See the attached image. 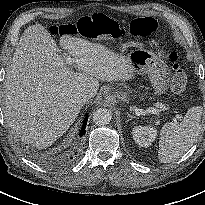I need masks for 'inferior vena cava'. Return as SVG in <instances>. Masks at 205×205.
<instances>
[{
	"instance_id": "602c4592",
	"label": "inferior vena cava",
	"mask_w": 205,
	"mask_h": 205,
	"mask_svg": "<svg viewBox=\"0 0 205 205\" xmlns=\"http://www.w3.org/2000/svg\"><path fill=\"white\" fill-rule=\"evenodd\" d=\"M91 98V94L86 93V92H79L75 95V101L78 104H85L86 101H88Z\"/></svg>"
}]
</instances>
